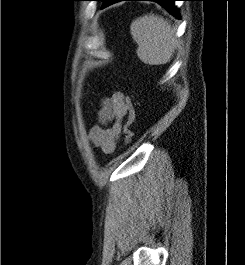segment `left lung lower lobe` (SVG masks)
<instances>
[{
	"instance_id": "0a47b994",
	"label": "left lung lower lobe",
	"mask_w": 245,
	"mask_h": 265,
	"mask_svg": "<svg viewBox=\"0 0 245 265\" xmlns=\"http://www.w3.org/2000/svg\"><path fill=\"white\" fill-rule=\"evenodd\" d=\"M119 1H155L161 4L163 7H165L171 14L176 16L177 18H180V15L174 6V2L178 0H106L103 2V5L101 8H104L106 6H109L113 3L119 2Z\"/></svg>"
}]
</instances>
